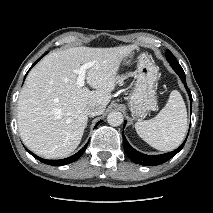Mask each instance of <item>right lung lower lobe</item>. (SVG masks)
<instances>
[{"instance_id": "obj_1", "label": "right lung lower lobe", "mask_w": 213, "mask_h": 213, "mask_svg": "<svg viewBox=\"0 0 213 213\" xmlns=\"http://www.w3.org/2000/svg\"><path fill=\"white\" fill-rule=\"evenodd\" d=\"M46 53H44L32 66L31 68L44 56L46 55ZM30 68V69H31ZM29 69V70H30ZM27 75V74H26ZM99 123L96 124V126L98 125ZM89 142H87V144L80 150L78 151L76 154L72 155L71 157H68V158H65V159H61V160H46V159H42L38 156H36L35 154H33L32 152H30L29 150H27L33 157H35L36 159H38L39 161L45 163V164H48V165H52V166H62V165H66V164H69V163H72L74 161H76L83 153L84 151L86 150L87 148V145H88Z\"/></svg>"}]
</instances>
